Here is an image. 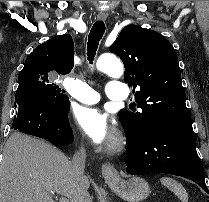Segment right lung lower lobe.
<instances>
[{
	"label": "right lung lower lobe",
	"mask_w": 209,
	"mask_h": 202,
	"mask_svg": "<svg viewBox=\"0 0 209 202\" xmlns=\"http://www.w3.org/2000/svg\"><path fill=\"white\" fill-rule=\"evenodd\" d=\"M15 100L18 111L12 124L14 130L48 139L58 146H65L73 141L67 117L69 108H56L51 102L39 98L28 86H18Z\"/></svg>",
	"instance_id": "obj_1"
}]
</instances>
